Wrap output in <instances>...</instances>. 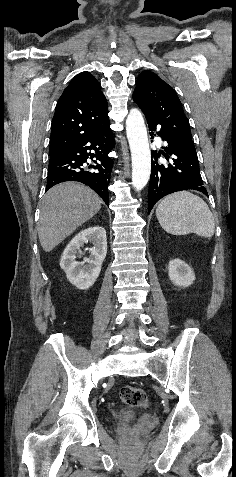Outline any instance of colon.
<instances>
[{
	"mask_svg": "<svg viewBox=\"0 0 236 477\" xmlns=\"http://www.w3.org/2000/svg\"><path fill=\"white\" fill-rule=\"evenodd\" d=\"M120 399L132 407L143 408L148 405V398L143 390L138 387L126 385L119 391Z\"/></svg>",
	"mask_w": 236,
	"mask_h": 477,
	"instance_id": "5ec220e1",
	"label": "colon"
}]
</instances>
